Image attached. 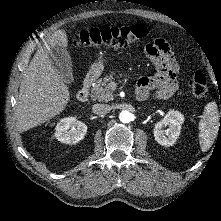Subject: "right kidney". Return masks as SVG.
I'll use <instances>...</instances> for the list:
<instances>
[{
  "label": "right kidney",
  "instance_id": "1",
  "mask_svg": "<svg viewBox=\"0 0 221 221\" xmlns=\"http://www.w3.org/2000/svg\"><path fill=\"white\" fill-rule=\"evenodd\" d=\"M55 138L61 143L76 144L87 132V125L75 117L61 119L55 128Z\"/></svg>",
  "mask_w": 221,
  "mask_h": 221
}]
</instances>
